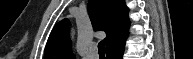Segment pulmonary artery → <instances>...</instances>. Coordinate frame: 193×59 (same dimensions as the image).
Instances as JSON below:
<instances>
[{
    "label": "pulmonary artery",
    "mask_w": 193,
    "mask_h": 59,
    "mask_svg": "<svg viewBox=\"0 0 193 59\" xmlns=\"http://www.w3.org/2000/svg\"><path fill=\"white\" fill-rule=\"evenodd\" d=\"M86 57L88 59H97L98 58V55L96 54L95 50L90 48L87 53H86Z\"/></svg>",
    "instance_id": "pulmonary-artery-1"
}]
</instances>
